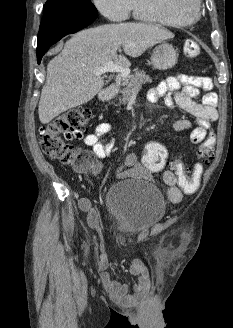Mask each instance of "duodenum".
<instances>
[{"label": "duodenum", "mask_w": 233, "mask_h": 328, "mask_svg": "<svg viewBox=\"0 0 233 328\" xmlns=\"http://www.w3.org/2000/svg\"><path fill=\"white\" fill-rule=\"evenodd\" d=\"M117 92V85L116 84H111L108 87L104 88L100 94H99V98L102 101H108L111 98L114 97V95Z\"/></svg>", "instance_id": "obj_1"}]
</instances>
